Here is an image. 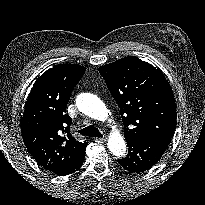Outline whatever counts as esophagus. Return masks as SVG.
Returning a JSON list of instances; mask_svg holds the SVG:
<instances>
[{"mask_svg":"<svg viewBox=\"0 0 205 205\" xmlns=\"http://www.w3.org/2000/svg\"><path fill=\"white\" fill-rule=\"evenodd\" d=\"M95 141L96 142H104V141H106V138L105 137H97V138H95Z\"/></svg>","mask_w":205,"mask_h":205,"instance_id":"1","label":"esophagus"}]
</instances>
